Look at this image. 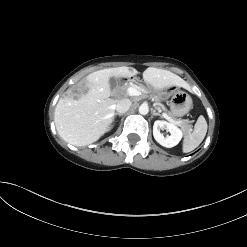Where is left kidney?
I'll return each instance as SVG.
<instances>
[{"instance_id": "1", "label": "left kidney", "mask_w": 247, "mask_h": 247, "mask_svg": "<svg viewBox=\"0 0 247 247\" xmlns=\"http://www.w3.org/2000/svg\"><path fill=\"white\" fill-rule=\"evenodd\" d=\"M160 129H166L171 135L165 138L160 133ZM153 136L160 145L171 148L176 146L181 141L183 133L172 123H168L163 120H156L153 125Z\"/></svg>"}]
</instances>
